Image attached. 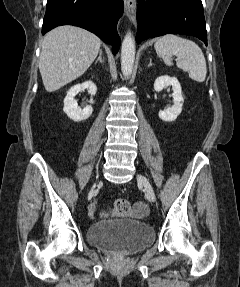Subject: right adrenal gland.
I'll list each match as a JSON object with an SVG mask.
<instances>
[{
    "mask_svg": "<svg viewBox=\"0 0 240 287\" xmlns=\"http://www.w3.org/2000/svg\"><path fill=\"white\" fill-rule=\"evenodd\" d=\"M98 61H100L101 63L103 62V60H102V50H100V52H99V57H98V59L95 61V64H96Z\"/></svg>",
    "mask_w": 240,
    "mask_h": 287,
    "instance_id": "right-adrenal-gland-1",
    "label": "right adrenal gland"
}]
</instances>
